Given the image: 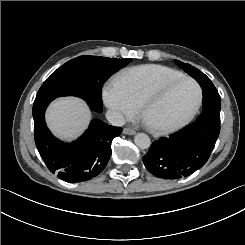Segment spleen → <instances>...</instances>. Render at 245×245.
Listing matches in <instances>:
<instances>
[{
	"instance_id": "3e777b00",
	"label": "spleen",
	"mask_w": 245,
	"mask_h": 245,
	"mask_svg": "<svg viewBox=\"0 0 245 245\" xmlns=\"http://www.w3.org/2000/svg\"><path fill=\"white\" fill-rule=\"evenodd\" d=\"M199 135H200V133H199V132H198V133H196V134H194V135H193V139L198 138V137H199Z\"/></svg>"
}]
</instances>
